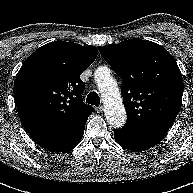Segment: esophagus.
<instances>
[{
	"label": "esophagus",
	"mask_w": 193,
	"mask_h": 193,
	"mask_svg": "<svg viewBox=\"0 0 193 193\" xmlns=\"http://www.w3.org/2000/svg\"><path fill=\"white\" fill-rule=\"evenodd\" d=\"M103 110H104L103 106H99V107L96 108V111H97L98 113L103 112Z\"/></svg>",
	"instance_id": "obj_1"
}]
</instances>
